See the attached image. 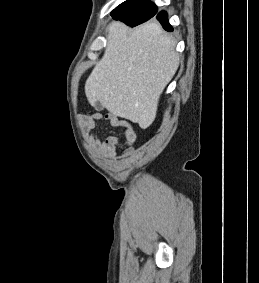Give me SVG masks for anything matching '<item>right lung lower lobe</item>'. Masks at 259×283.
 <instances>
[{
  "label": "right lung lower lobe",
  "instance_id": "obj_1",
  "mask_svg": "<svg viewBox=\"0 0 259 283\" xmlns=\"http://www.w3.org/2000/svg\"><path fill=\"white\" fill-rule=\"evenodd\" d=\"M157 14V7L149 0H127L116 7L111 12L115 20H120L128 26L135 27L146 22ZM157 19L163 28L169 32L173 29L167 20V13L162 11L157 15Z\"/></svg>",
  "mask_w": 259,
  "mask_h": 283
}]
</instances>
